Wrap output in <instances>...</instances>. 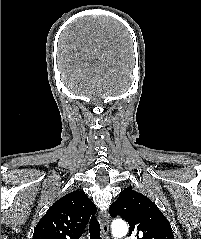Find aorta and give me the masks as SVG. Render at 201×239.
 Here are the masks:
<instances>
[{
	"label": "aorta",
	"mask_w": 201,
	"mask_h": 239,
	"mask_svg": "<svg viewBox=\"0 0 201 239\" xmlns=\"http://www.w3.org/2000/svg\"><path fill=\"white\" fill-rule=\"evenodd\" d=\"M111 232L115 238H122L128 232L127 223L122 219H115L111 224Z\"/></svg>",
	"instance_id": "1"
}]
</instances>
